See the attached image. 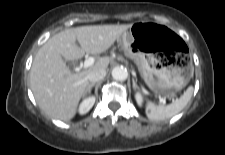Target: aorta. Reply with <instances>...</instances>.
Instances as JSON below:
<instances>
[{"mask_svg": "<svg viewBox=\"0 0 225 155\" xmlns=\"http://www.w3.org/2000/svg\"><path fill=\"white\" fill-rule=\"evenodd\" d=\"M112 77L117 81H124L128 77V71L123 66L114 67L112 70Z\"/></svg>", "mask_w": 225, "mask_h": 155, "instance_id": "1", "label": "aorta"}]
</instances>
